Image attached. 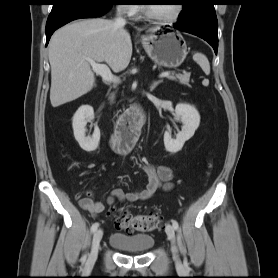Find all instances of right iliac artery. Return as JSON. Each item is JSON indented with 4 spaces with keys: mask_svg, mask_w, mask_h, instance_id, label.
Returning <instances> with one entry per match:
<instances>
[{
    "mask_svg": "<svg viewBox=\"0 0 278 278\" xmlns=\"http://www.w3.org/2000/svg\"><path fill=\"white\" fill-rule=\"evenodd\" d=\"M98 227H99V224L97 222L93 223L91 226V232H95Z\"/></svg>",
    "mask_w": 278,
    "mask_h": 278,
    "instance_id": "right-iliac-artery-1",
    "label": "right iliac artery"
}]
</instances>
